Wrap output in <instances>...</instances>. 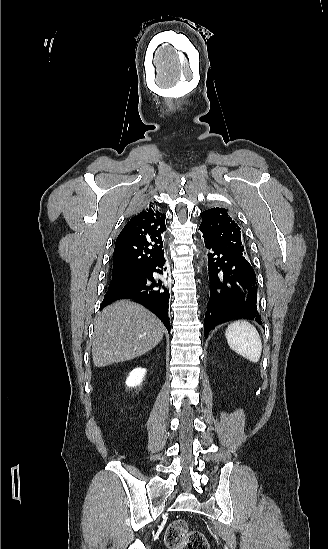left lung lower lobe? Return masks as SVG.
I'll return each instance as SVG.
<instances>
[{
	"instance_id": "obj_1",
	"label": "left lung lower lobe",
	"mask_w": 328,
	"mask_h": 549,
	"mask_svg": "<svg viewBox=\"0 0 328 549\" xmlns=\"http://www.w3.org/2000/svg\"><path fill=\"white\" fill-rule=\"evenodd\" d=\"M208 249L210 299L205 315L204 335L229 320L250 319L262 323L257 311L255 272L241 255L204 238Z\"/></svg>"
}]
</instances>
